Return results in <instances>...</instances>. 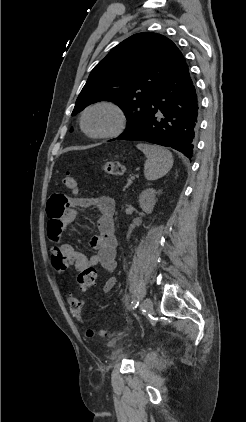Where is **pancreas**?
<instances>
[{"mask_svg":"<svg viewBox=\"0 0 246 422\" xmlns=\"http://www.w3.org/2000/svg\"><path fill=\"white\" fill-rule=\"evenodd\" d=\"M131 184H132V180H131V176H130V178L128 179V183H127L126 187L130 186Z\"/></svg>","mask_w":246,"mask_h":422,"instance_id":"cf45deb5","label":"pancreas"}]
</instances>
